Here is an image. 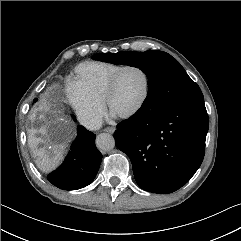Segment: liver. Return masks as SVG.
<instances>
[{
	"label": "liver",
	"mask_w": 241,
	"mask_h": 241,
	"mask_svg": "<svg viewBox=\"0 0 241 241\" xmlns=\"http://www.w3.org/2000/svg\"><path fill=\"white\" fill-rule=\"evenodd\" d=\"M51 104L43 101L38 108H35L32 113V117L36 116L37 111L43 112L40 114L39 119L44 122L40 129H30L28 136V144L36 157L37 166L47 172L53 169L59 162L61 152L65 146L71 141L74 134V126L69 120L65 119L60 110L52 109ZM46 114L50 115L51 120L46 118ZM51 129V134L55 135V144L47 149L46 147L38 148V145L44 140L41 137H37L36 134L40 133L44 137H47L48 128ZM52 151V154H51Z\"/></svg>",
	"instance_id": "liver-1"
}]
</instances>
